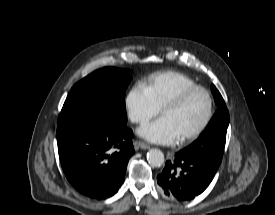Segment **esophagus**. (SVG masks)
Here are the masks:
<instances>
[{"label":"esophagus","instance_id":"obj_1","mask_svg":"<svg viewBox=\"0 0 275 215\" xmlns=\"http://www.w3.org/2000/svg\"><path fill=\"white\" fill-rule=\"evenodd\" d=\"M136 144L141 149H149L150 148V146L147 143L143 142V141H137Z\"/></svg>","mask_w":275,"mask_h":215}]
</instances>
